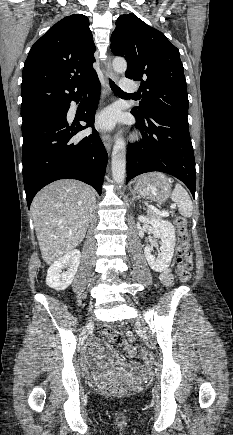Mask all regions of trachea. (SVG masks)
Here are the masks:
<instances>
[{"label": "trachea", "instance_id": "trachea-1", "mask_svg": "<svg viewBox=\"0 0 233 435\" xmlns=\"http://www.w3.org/2000/svg\"><path fill=\"white\" fill-rule=\"evenodd\" d=\"M109 84L113 92L125 94L111 79H109Z\"/></svg>", "mask_w": 233, "mask_h": 435}]
</instances>
